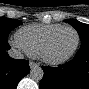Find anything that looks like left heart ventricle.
<instances>
[{"instance_id":"1","label":"left heart ventricle","mask_w":89,"mask_h":89,"mask_svg":"<svg viewBox=\"0 0 89 89\" xmlns=\"http://www.w3.org/2000/svg\"><path fill=\"white\" fill-rule=\"evenodd\" d=\"M76 34L72 30H64L51 42L47 55L51 58H60L67 55L74 47Z\"/></svg>"}]
</instances>
